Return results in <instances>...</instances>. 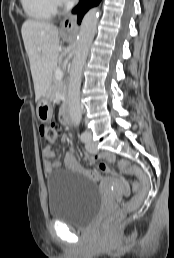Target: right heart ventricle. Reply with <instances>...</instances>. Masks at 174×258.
<instances>
[{
    "label": "right heart ventricle",
    "instance_id": "right-heart-ventricle-1",
    "mask_svg": "<svg viewBox=\"0 0 174 258\" xmlns=\"http://www.w3.org/2000/svg\"><path fill=\"white\" fill-rule=\"evenodd\" d=\"M25 14L36 21L50 20L57 10L55 0H20Z\"/></svg>",
    "mask_w": 174,
    "mask_h": 258
}]
</instances>
